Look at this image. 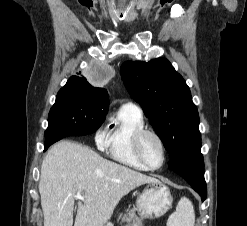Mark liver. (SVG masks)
Segmentation results:
<instances>
[{
  "label": "liver",
  "mask_w": 247,
  "mask_h": 226,
  "mask_svg": "<svg viewBox=\"0 0 247 226\" xmlns=\"http://www.w3.org/2000/svg\"><path fill=\"white\" fill-rule=\"evenodd\" d=\"M157 179L101 157L78 143L61 141L47 152L41 165L39 193L44 226H104L123 196Z\"/></svg>",
  "instance_id": "6515ba94"
}]
</instances>
